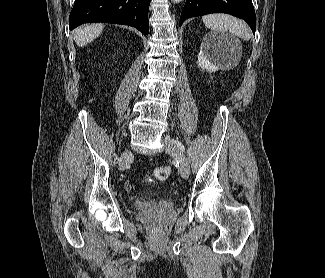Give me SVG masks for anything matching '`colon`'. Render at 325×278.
<instances>
[{"label":"colon","instance_id":"5ec220e1","mask_svg":"<svg viewBox=\"0 0 325 278\" xmlns=\"http://www.w3.org/2000/svg\"><path fill=\"white\" fill-rule=\"evenodd\" d=\"M170 174L171 168L169 166H159L153 169L152 172L147 175L146 180L148 183H153L156 180L164 181L169 178ZM150 229L152 231L157 230V226L154 222L150 223Z\"/></svg>","mask_w":325,"mask_h":278}]
</instances>
